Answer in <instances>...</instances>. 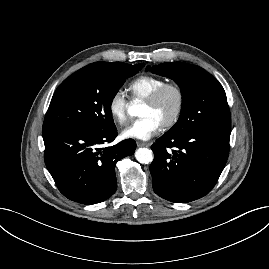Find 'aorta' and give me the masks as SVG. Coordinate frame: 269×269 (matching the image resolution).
<instances>
[{
    "label": "aorta",
    "mask_w": 269,
    "mask_h": 269,
    "mask_svg": "<svg viewBox=\"0 0 269 269\" xmlns=\"http://www.w3.org/2000/svg\"><path fill=\"white\" fill-rule=\"evenodd\" d=\"M141 112V103L139 101H134L128 107V114L130 116H139ZM136 160L141 164H149L153 161V153L148 148H139L135 152Z\"/></svg>",
    "instance_id": "762f6f07"
}]
</instances>
